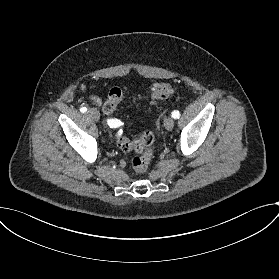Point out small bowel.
Listing matches in <instances>:
<instances>
[{
    "mask_svg": "<svg viewBox=\"0 0 279 279\" xmlns=\"http://www.w3.org/2000/svg\"><path fill=\"white\" fill-rule=\"evenodd\" d=\"M90 100L97 105L101 104V98L95 93L90 95Z\"/></svg>",
    "mask_w": 279,
    "mask_h": 279,
    "instance_id": "c3829d8e",
    "label": "small bowel"
}]
</instances>
